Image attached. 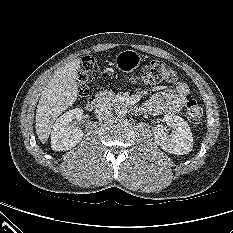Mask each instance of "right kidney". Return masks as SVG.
Listing matches in <instances>:
<instances>
[{
    "label": "right kidney",
    "instance_id": "1",
    "mask_svg": "<svg viewBox=\"0 0 233 233\" xmlns=\"http://www.w3.org/2000/svg\"><path fill=\"white\" fill-rule=\"evenodd\" d=\"M83 110L75 108L60 116L53 125L51 132V147L55 151H66L73 148L83 137V131L70 125L74 119H81Z\"/></svg>",
    "mask_w": 233,
    "mask_h": 233
}]
</instances>
